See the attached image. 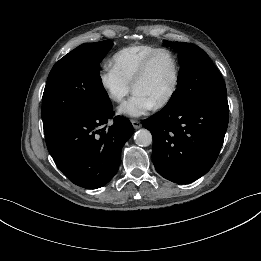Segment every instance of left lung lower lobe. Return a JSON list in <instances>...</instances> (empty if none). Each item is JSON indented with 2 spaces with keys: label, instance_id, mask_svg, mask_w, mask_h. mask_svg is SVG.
Returning <instances> with one entry per match:
<instances>
[{
  "label": "left lung lower lobe",
  "instance_id": "0a47b994",
  "mask_svg": "<svg viewBox=\"0 0 261 261\" xmlns=\"http://www.w3.org/2000/svg\"><path fill=\"white\" fill-rule=\"evenodd\" d=\"M226 95L199 101L183 110L164 107L143 120L153 135L152 160L164 178L190 183L215 163L228 126Z\"/></svg>",
  "mask_w": 261,
  "mask_h": 261
}]
</instances>
